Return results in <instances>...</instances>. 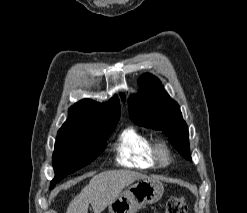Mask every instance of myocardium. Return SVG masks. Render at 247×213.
<instances>
[{
  "label": "myocardium",
  "mask_w": 247,
  "mask_h": 213,
  "mask_svg": "<svg viewBox=\"0 0 247 213\" xmlns=\"http://www.w3.org/2000/svg\"><path fill=\"white\" fill-rule=\"evenodd\" d=\"M152 153L156 163L160 167H167L172 163L173 157L169 145L164 141H156L152 144Z\"/></svg>",
  "instance_id": "f54148a6"
}]
</instances>
